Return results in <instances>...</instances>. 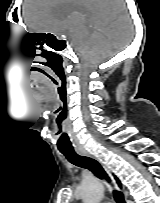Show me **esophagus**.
Wrapping results in <instances>:
<instances>
[{"instance_id": "obj_1", "label": "esophagus", "mask_w": 160, "mask_h": 203, "mask_svg": "<svg viewBox=\"0 0 160 203\" xmlns=\"http://www.w3.org/2000/svg\"><path fill=\"white\" fill-rule=\"evenodd\" d=\"M76 152L80 155H83V156H87V157H90V158H94L88 151H86L85 149L83 148H76ZM105 170L109 173V175L112 177L113 179V182L114 184L116 185V187L118 189H121V191L123 192V195H124V198H125V201L128 203V192L127 190L125 189V187L123 185L120 184L117 176L107 167H105Z\"/></svg>"}]
</instances>
